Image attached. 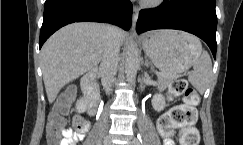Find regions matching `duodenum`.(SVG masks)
Returning a JSON list of instances; mask_svg holds the SVG:
<instances>
[{
	"instance_id": "1",
	"label": "duodenum",
	"mask_w": 243,
	"mask_h": 145,
	"mask_svg": "<svg viewBox=\"0 0 243 145\" xmlns=\"http://www.w3.org/2000/svg\"><path fill=\"white\" fill-rule=\"evenodd\" d=\"M96 71H90L83 78V91L88 100V113L95 115L99 104V92L96 86Z\"/></svg>"
}]
</instances>
